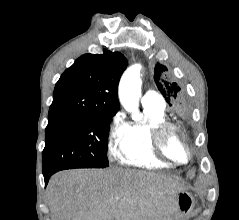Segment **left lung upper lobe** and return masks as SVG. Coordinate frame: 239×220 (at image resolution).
Listing matches in <instances>:
<instances>
[{"mask_svg":"<svg viewBox=\"0 0 239 220\" xmlns=\"http://www.w3.org/2000/svg\"><path fill=\"white\" fill-rule=\"evenodd\" d=\"M167 68L160 63L155 66L154 80L159 91L166 98L167 103L172 107L175 114L181 119L190 117V106L186 98L182 95L181 88L176 83H172L165 74Z\"/></svg>","mask_w":239,"mask_h":220,"instance_id":"obj_1","label":"left lung upper lobe"}]
</instances>
